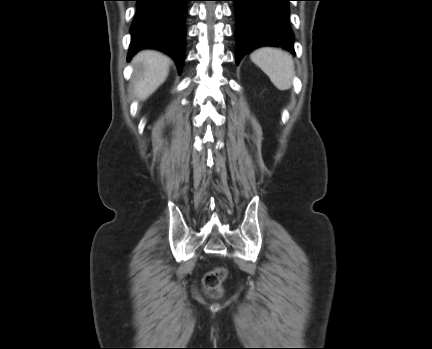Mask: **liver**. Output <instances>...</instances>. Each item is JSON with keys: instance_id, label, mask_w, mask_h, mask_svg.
Here are the masks:
<instances>
[{"instance_id": "1", "label": "liver", "mask_w": 432, "mask_h": 349, "mask_svg": "<svg viewBox=\"0 0 432 349\" xmlns=\"http://www.w3.org/2000/svg\"><path fill=\"white\" fill-rule=\"evenodd\" d=\"M133 82L139 99H146L166 80L170 59L158 51L144 50L135 55Z\"/></svg>"}]
</instances>
